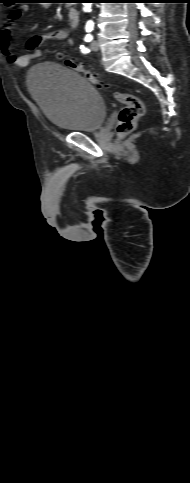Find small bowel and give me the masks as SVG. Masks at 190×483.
I'll use <instances>...</instances> for the list:
<instances>
[{
	"label": "small bowel",
	"instance_id": "c3829d8e",
	"mask_svg": "<svg viewBox=\"0 0 190 483\" xmlns=\"http://www.w3.org/2000/svg\"><path fill=\"white\" fill-rule=\"evenodd\" d=\"M27 10L28 6L24 4L16 7L9 13L4 25L0 28V50L5 58L17 67H26L32 58L39 57L40 53L38 48L45 42L65 41L69 45H72L73 43L70 37V30L67 28H60L30 38L26 43V48L30 53L17 56L11 45V35L16 22Z\"/></svg>",
	"mask_w": 190,
	"mask_h": 483
}]
</instances>
